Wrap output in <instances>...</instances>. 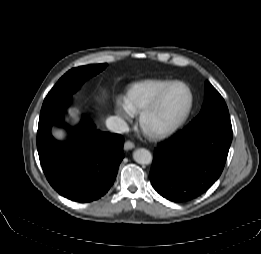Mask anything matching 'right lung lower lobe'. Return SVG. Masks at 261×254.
I'll return each mask as SVG.
<instances>
[{
	"label": "right lung lower lobe",
	"instance_id": "98d812e1",
	"mask_svg": "<svg viewBox=\"0 0 261 254\" xmlns=\"http://www.w3.org/2000/svg\"><path fill=\"white\" fill-rule=\"evenodd\" d=\"M71 95L44 101L37 132L41 166L50 185L62 196L90 202L103 196L114 183L124 158V139L119 134L100 132L86 117L77 127L63 122ZM70 132L68 141H57L51 127Z\"/></svg>",
	"mask_w": 261,
	"mask_h": 254
}]
</instances>
